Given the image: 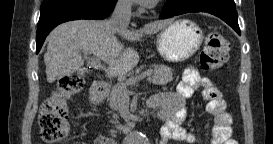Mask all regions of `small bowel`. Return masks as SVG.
Wrapping results in <instances>:
<instances>
[{
  "instance_id": "small-bowel-1",
  "label": "small bowel",
  "mask_w": 273,
  "mask_h": 144,
  "mask_svg": "<svg viewBox=\"0 0 273 144\" xmlns=\"http://www.w3.org/2000/svg\"><path fill=\"white\" fill-rule=\"evenodd\" d=\"M196 91H200L206 101L205 110L213 116L211 144H235L231 139L232 120L226 110V103L221 90L207 77L199 74L194 68L184 71L182 81L177 90L165 93L168 106L162 110L165 124L161 129L160 144H166L170 140L190 144L200 143L199 137L188 132L182 127L187 118L186 102L191 99ZM94 144H110L113 141L105 136L99 135Z\"/></svg>"
}]
</instances>
